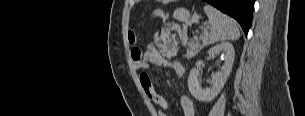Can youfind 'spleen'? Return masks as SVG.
<instances>
[{"label": "spleen", "instance_id": "1", "mask_svg": "<svg viewBox=\"0 0 305 116\" xmlns=\"http://www.w3.org/2000/svg\"><path fill=\"white\" fill-rule=\"evenodd\" d=\"M209 24L210 32H205L204 41L206 45L214 44L219 41L237 40L240 37V31L237 22L228 15L220 12L211 5L204 6Z\"/></svg>", "mask_w": 305, "mask_h": 116}]
</instances>
